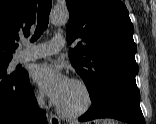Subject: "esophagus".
<instances>
[{"mask_svg": "<svg viewBox=\"0 0 156 124\" xmlns=\"http://www.w3.org/2000/svg\"><path fill=\"white\" fill-rule=\"evenodd\" d=\"M49 122L50 124H61L60 119L54 114L50 115Z\"/></svg>", "mask_w": 156, "mask_h": 124, "instance_id": "obj_1", "label": "esophagus"}]
</instances>
